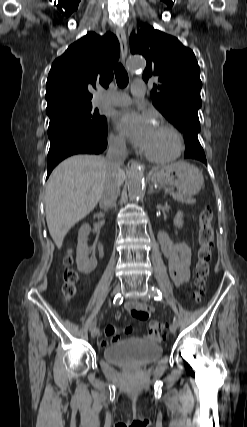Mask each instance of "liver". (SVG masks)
Returning a JSON list of instances; mask_svg holds the SVG:
<instances>
[{
  "instance_id": "1",
  "label": "liver",
  "mask_w": 247,
  "mask_h": 427,
  "mask_svg": "<svg viewBox=\"0 0 247 427\" xmlns=\"http://www.w3.org/2000/svg\"><path fill=\"white\" fill-rule=\"evenodd\" d=\"M107 176L105 158L75 155L61 162L51 173L46 186L45 212L50 235L62 247L69 230L94 210ZM120 185L125 172L117 174Z\"/></svg>"
}]
</instances>
